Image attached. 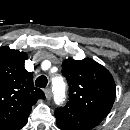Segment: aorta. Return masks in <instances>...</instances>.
Instances as JSON below:
<instances>
[{
	"instance_id": "1",
	"label": "aorta",
	"mask_w": 130,
	"mask_h": 130,
	"mask_svg": "<svg viewBox=\"0 0 130 130\" xmlns=\"http://www.w3.org/2000/svg\"><path fill=\"white\" fill-rule=\"evenodd\" d=\"M54 100L56 104H61L65 98V84L61 77H57L52 81Z\"/></svg>"
}]
</instances>
